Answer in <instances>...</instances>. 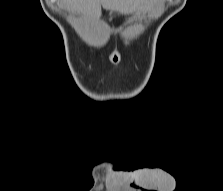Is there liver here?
Instances as JSON below:
<instances>
[{
	"mask_svg": "<svg viewBox=\"0 0 223 191\" xmlns=\"http://www.w3.org/2000/svg\"><path fill=\"white\" fill-rule=\"evenodd\" d=\"M67 9L86 17L99 19L101 17V5L106 10L117 11L121 14H129L135 11L142 0H62Z\"/></svg>",
	"mask_w": 223,
	"mask_h": 191,
	"instance_id": "obj_1",
	"label": "liver"
}]
</instances>
